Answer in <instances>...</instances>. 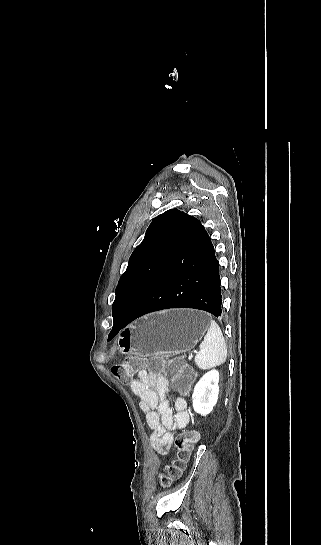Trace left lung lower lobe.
Returning a JSON list of instances; mask_svg holds the SVG:
<instances>
[{
  "label": "left lung lower lobe",
  "instance_id": "obj_1",
  "mask_svg": "<svg viewBox=\"0 0 321 545\" xmlns=\"http://www.w3.org/2000/svg\"><path fill=\"white\" fill-rule=\"evenodd\" d=\"M219 262L201 222L190 217L167 260L127 315H113L112 333L136 318L168 308H195L221 316Z\"/></svg>",
  "mask_w": 321,
  "mask_h": 545
}]
</instances>
